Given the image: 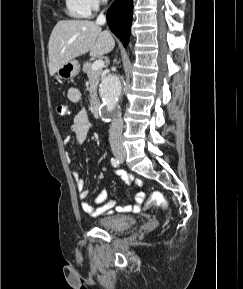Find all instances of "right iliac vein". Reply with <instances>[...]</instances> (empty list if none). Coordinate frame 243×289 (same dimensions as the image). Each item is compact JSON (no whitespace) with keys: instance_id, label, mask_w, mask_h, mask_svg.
<instances>
[{"instance_id":"63e3f726","label":"right iliac vein","mask_w":243,"mask_h":289,"mask_svg":"<svg viewBox=\"0 0 243 289\" xmlns=\"http://www.w3.org/2000/svg\"><path fill=\"white\" fill-rule=\"evenodd\" d=\"M117 158L119 159H123L125 157V153L124 152H121V153H118L117 155Z\"/></svg>"}]
</instances>
